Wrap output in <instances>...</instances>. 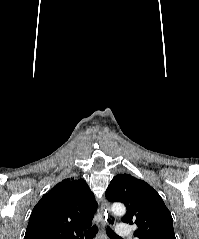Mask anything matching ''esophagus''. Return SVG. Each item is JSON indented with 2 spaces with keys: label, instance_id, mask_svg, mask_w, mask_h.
Instances as JSON below:
<instances>
[{
  "label": "esophagus",
  "instance_id": "34e87169",
  "mask_svg": "<svg viewBox=\"0 0 199 239\" xmlns=\"http://www.w3.org/2000/svg\"><path fill=\"white\" fill-rule=\"evenodd\" d=\"M101 208H102V210L104 212V216H105V218L101 222L103 231H104L106 225L113 226L115 224L116 220H115V216L111 213L110 205L105 198H103V200H102ZM103 236H105V233H103Z\"/></svg>",
  "mask_w": 199,
  "mask_h": 239
}]
</instances>
